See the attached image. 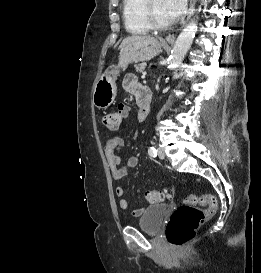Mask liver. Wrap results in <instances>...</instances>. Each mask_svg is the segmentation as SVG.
Here are the masks:
<instances>
[{"label":"liver","instance_id":"obj_1","mask_svg":"<svg viewBox=\"0 0 261 273\" xmlns=\"http://www.w3.org/2000/svg\"><path fill=\"white\" fill-rule=\"evenodd\" d=\"M151 38L150 36H141V35H132L129 36L127 38H125L121 45H120V49L123 48L124 46H126L127 44L134 42V41H138V40H144V39H149Z\"/></svg>","mask_w":261,"mask_h":273}]
</instances>
